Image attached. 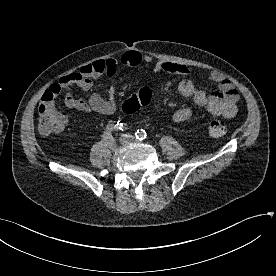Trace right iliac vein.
<instances>
[{"label": "right iliac vein", "mask_w": 276, "mask_h": 276, "mask_svg": "<svg viewBox=\"0 0 276 276\" xmlns=\"http://www.w3.org/2000/svg\"><path fill=\"white\" fill-rule=\"evenodd\" d=\"M108 146L111 150H115L117 148V144L114 139L112 141L108 142Z\"/></svg>", "instance_id": "obj_1"}]
</instances>
